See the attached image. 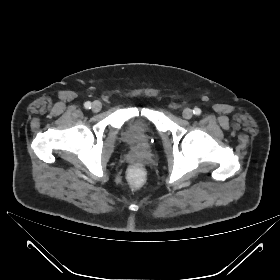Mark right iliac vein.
I'll list each match as a JSON object with an SVG mask.
<instances>
[{
    "instance_id": "63e3f726",
    "label": "right iliac vein",
    "mask_w": 280,
    "mask_h": 280,
    "mask_svg": "<svg viewBox=\"0 0 280 280\" xmlns=\"http://www.w3.org/2000/svg\"><path fill=\"white\" fill-rule=\"evenodd\" d=\"M101 108H102L101 102H99V101L93 102V104H92V111L93 112H99L101 110Z\"/></svg>"
}]
</instances>
